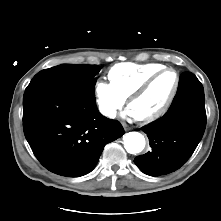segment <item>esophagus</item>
Instances as JSON below:
<instances>
[{
    "label": "esophagus",
    "mask_w": 221,
    "mask_h": 221,
    "mask_svg": "<svg viewBox=\"0 0 221 221\" xmlns=\"http://www.w3.org/2000/svg\"><path fill=\"white\" fill-rule=\"evenodd\" d=\"M123 128L125 129V131L130 130V127L126 124V123H122Z\"/></svg>",
    "instance_id": "1"
}]
</instances>
